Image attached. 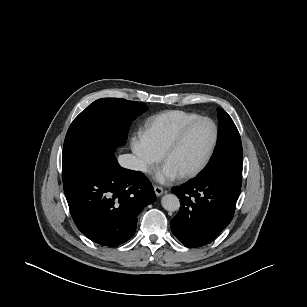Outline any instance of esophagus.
<instances>
[{
	"instance_id": "34e87169",
	"label": "esophagus",
	"mask_w": 307,
	"mask_h": 307,
	"mask_svg": "<svg viewBox=\"0 0 307 307\" xmlns=\"http://www.w3.org/2000/svg\"><path fill=\"white\" fill-rule=\"evenodd\" d=\"M154 191L156 196H161L163 194V188L157 185H154Z\"/></svg>"
}]
</instances>
